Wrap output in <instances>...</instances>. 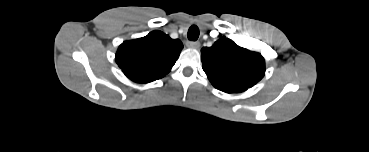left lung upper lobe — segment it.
I'll list each match as a JSON object with an SVG mask.
<instances>
[{
    "mask_svg": "<svg viewBox=\"0 0 369 152\" xmlns=\"http://www.w3.org/2000/svg\"><path fill=\"white\" fill-rule=\"evenodd\" d=\"M202 68L216 89L239 93L251 88L265 74L261 54L238 46L230 39L217 40L201 50Z\"/></svg>",
    "mask_w": 369,
    "mask_h": 152,
    "instance_id": "5c2ea615",
    "label": "left lung upper lobe"
}]
</instances>
